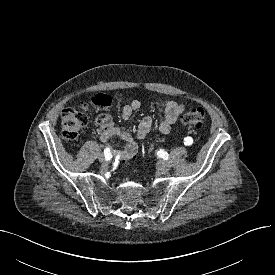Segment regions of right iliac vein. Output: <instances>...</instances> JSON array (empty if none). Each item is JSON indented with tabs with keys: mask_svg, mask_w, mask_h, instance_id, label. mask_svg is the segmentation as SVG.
<instances>
[{
	"mask_svg": "<svg viewBox=\"0 0 275 275\" xmlns=\"http://www.w3.org/2000/svg\"><path fill=\"white\" fill-rule=\"evenodd\" d=\"M98 159H99V161H100L104 166H107V165H108V161L105 159V157L103 156V154H99Z\"/></svg>",
	"mask_w": 275,
	"mask_h": 275,
	"instance_id": "1",
	"label": "right iliac vein"
}]
</instances>
